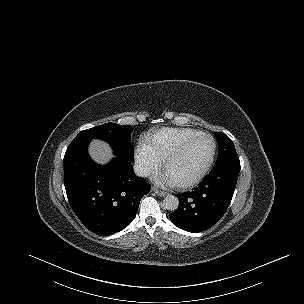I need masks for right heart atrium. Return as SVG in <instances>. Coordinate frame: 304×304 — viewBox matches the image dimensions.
<instances>
[{
  "label": "right heart atrium",
  "instance_id": "1",
  "mask_svg": "<svg viewBox=\"0 0 304 304\" xmlns=\"http://www.w3.org/2000/svg\"><path fill=\"white\" fill-rule=\"evenodd\" d=\"M135 162L138 171L149 176L157 172L161 166V159L154 153L148 143L140 142L135 151Z\"/></svg>",
  "mask_w": 304,
  "mask_h": 304
}]
</instances>
